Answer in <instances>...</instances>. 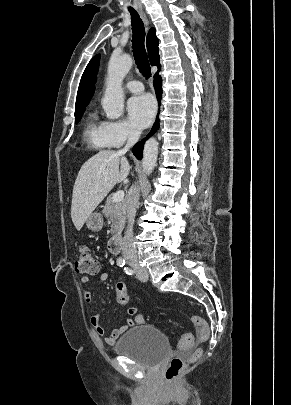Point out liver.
<instances>
[{"mask_svg": "<svg viewBox=\"0 0 291 405\" xmlns=\"http://www.w3.org/2000/svg\"><path fill=\"white\" fill-rule=\"evenodd\" d=\"M129 171L124 153L112 150L100 151L82 165L71 204L72 222L78 231L112 188L127 178Z\"/></svg>", "mask_w": 291, "mask_h": 405, "instance_id": "liver-1", "label": "liver"}]
</instances>
